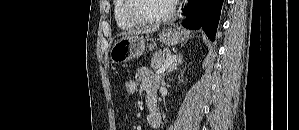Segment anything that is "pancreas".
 I'll list each match as a JSON object with an SVG mask.
<instances>
[{
    "instance_id": "pancreas-1",
    "label": "pancreas",
    "mask_w": 299,
    "mask_h": 130,
    "mask_svg": "<svg viewBox=\"0 0 299 130\" xmlns=\"http://www.w3.org/2000/svg\"><path fill=\"white\" fill-rule=\"evenodd\" d=\"M170 55H171V51L169 49H164V50L154 52L153 58L151 60V68L157 69L165 65ZM157 78H159V76H157Z\"/></svg>"
}]
</instances>
